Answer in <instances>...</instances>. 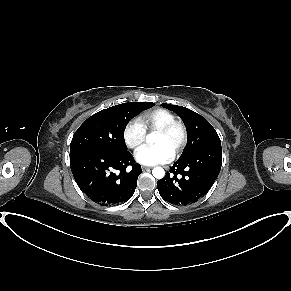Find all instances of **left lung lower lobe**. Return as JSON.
<instances>
[{
  "instance_id": "1",
  "label": "left lung lower lobe",
  "mask_w": 291,
  "mask_h": 291,
  "mask_svg": "<svg viewBox=\"0 0 291 291\" xmlns=\"http://www.w3.org/2000/svg\"><path fill=\"white\" fill-rule=\"evenodd\" d=\"M222 165L221 146H212L179 158L157 182L160 196L175 205H188L207 194Z\"/></svg>"
}]
</instances>
